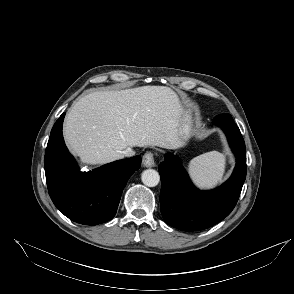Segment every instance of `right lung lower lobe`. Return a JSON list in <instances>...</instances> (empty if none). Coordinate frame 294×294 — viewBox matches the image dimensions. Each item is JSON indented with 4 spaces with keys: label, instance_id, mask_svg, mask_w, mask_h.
Returning <instances> with one entry per match:
<instances>
[{
    "label": "right lung lower lobe",
    "instance_id": "98d812e1",
    "mask_svg": "<svg viewBox=\"0 0 294 294\" xmlns=\"http://www.w3.org/2000/svg\"><path fill=\"white\" fill-rule=\"evenodd\" d=\"M65 113L55 122L45 151V174L49 195L55 206L69 219L84 225L111 220L122 191L132 174L140 168L141 157L115 161L93 171H78L62 135Z\"/></svg>",
    "mask_w": 294,
    "mask_h": 294
}]
</instances>
